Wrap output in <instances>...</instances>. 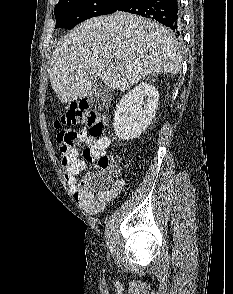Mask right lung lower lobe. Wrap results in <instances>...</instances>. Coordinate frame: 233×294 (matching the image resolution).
Masks as SVG:
<instances>
[{"label":"right lung lower lobe","instance_id":"right-lung-lower-lobe-1","mask_svg":"<svg viewBox=\"0 0 233 294\" xmlns=\"http://www.w3.org/2000/svg\"><path fill=\"white\" fill-rule=\"evenodd\" d=\"M116 11H125L155 19L181 34V12L178 0H124Z\"/></svg>","mask_w":233,"mask_h":294}]
</instances>
